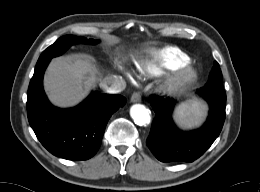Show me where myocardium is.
I'll list each match as a JSON object with an SVG mask.
<instances>
[{
    "instance_id": "1",
    "label": "myocardium",
    "mask_w": 260,
    "mask_h": 192,
    "mask_svg": "<svg viewBox=\"0 0 260 192\" xmlns=\"http://www.w3.org/2000/svg\"><path fill=\"white\" fill-rule=\"evenodd\" d=\"M196 78V71L189 65L176 69L160 85L159 90L164 94L177 92L191 84Z\"/></svg>"
}]
</instances>
